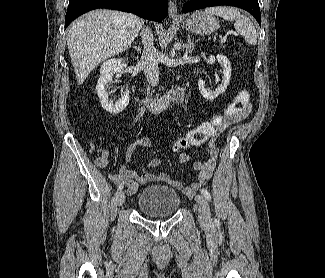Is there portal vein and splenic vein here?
Segmentation results:
<instances>
[{
	"mask_svg": "<svg viewBox=\"0 0 325 278\" xmlns=\"http://www.w3.org/2000/svg\"><path fill=\"white\" fill-rule=\"evenodd\" d=\"M226 39H227L226 36L221 37V43H225L226 42Z\"/></svg>",
	"mask_w": 325,
	"mask_h": 278,
	"instance_id": "obj_1",
	"label": "portal vein and splenic vein"
}]
</instances>
